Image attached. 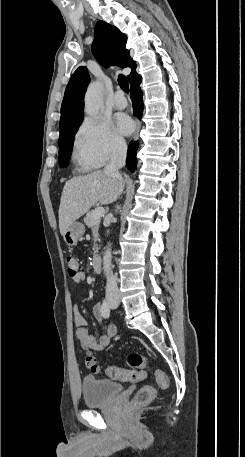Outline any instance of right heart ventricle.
<instances>
[{
    "label": "right heart ventricle",
    "instance_id": "1",
    "mask_svg": "<svg viewBox=\"0 0 245 457\" xmlns=\"http://www.w3.org/2000/svg\"><path fill=\"white\" fill-rule=\"evenodd\" d=\"M75 153L77 155V157L88 167H94L96 166V163L87 155V153L85 152V150L83 149V147L81 145H78L76 143V146H75Z\"/></svg>",
    "mask_w": 245,
    "mask_h": 457
}]
</instances>
